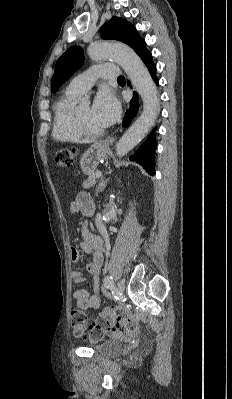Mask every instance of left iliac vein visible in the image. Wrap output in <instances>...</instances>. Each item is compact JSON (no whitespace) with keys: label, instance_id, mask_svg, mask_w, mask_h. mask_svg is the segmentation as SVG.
<instances>
[{"label":"left iliac vein","instance_id":"obj_1","mask_svg":"<svg viewBox=\"0 0 232 399\" xmlns=\"http://www.w3.org/2000/svg\"><path fill=\"white\" fill-rule=\"evenodd\" d=\"M117 288L121 293H124L126 290V285L124 283H117Z\"/></svg>","mask_w":232,"mask_h":399}]
</instances>
